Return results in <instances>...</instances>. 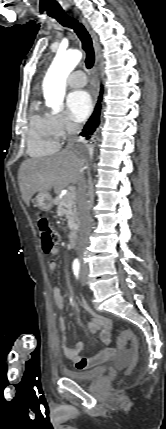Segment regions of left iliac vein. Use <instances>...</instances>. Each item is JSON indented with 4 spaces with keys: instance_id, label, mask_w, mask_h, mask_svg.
Segmentation results:
<instances>
[{
    "instance_id": "obj_1",
    "label": "left iliac vein",
    "mask_w": 166,
    "mask_h": 429,
    "mask_svg": "<svg viewBox=\"0 0 166 429\" xmlns=\"http://www.w3.org/2000/svg\"><path fill=\"white\" fill-rule=\"evenodd\" d=\"M81 281L83 284L86 283V273L84 271V268H82V270H81Z\"/></svg>"
}]
</instances>
